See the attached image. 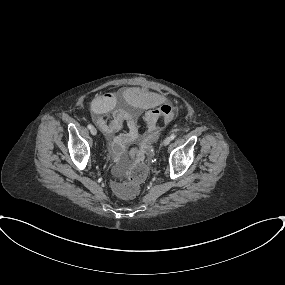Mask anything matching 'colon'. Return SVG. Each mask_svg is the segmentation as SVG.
Wrapping results in <instances>:
<instances>
[{
    "label": "colon",
    "mask_w": 285,
    "mask_h": 285,
    "mask_svg": "<svg viewBox=\"0 0 285 285\" xmlns=\"http://www.w3.org/2000/svg\"><path fill=\"white\" fill-rule=\"evenodd\" d=\"M143 124L146 132L155 130L160 124V119L156 117L155 111L147 112L143 117ZM147 174V164L143 160H138L129 169L125 178L115 183L114 190L122 198H133L139 192V184Z\"/></svg>",
    "instance_id": "colon-1"
}]
</instances>
